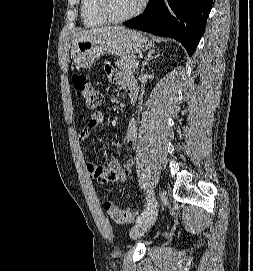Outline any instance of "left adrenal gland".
Listing matches in <instances>:
<instances>
[{
	"label": "left adrenal gland",
	"mask_w": 253,
	"mask_h": 271,
	"mask_svg": "<svg viewBox=\"0 0 253 271\" xmlns=\"http://www.w3.org/2000/svg\"><path fill=\"white\" fill-rule=\"evenodd\" d=\"M155 50H151L147 53V56L145 57V61L142 64V69H141V73L144 72L145 66L149 63V61H151L152 59L158 57L159 55H154Z\"/></svg>",
	"instance_id": "1"
}]
</instances>
